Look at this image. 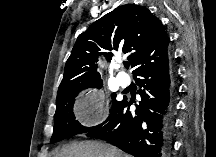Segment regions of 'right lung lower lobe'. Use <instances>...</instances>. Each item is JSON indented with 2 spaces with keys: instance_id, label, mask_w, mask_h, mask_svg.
<instances>
[{
  "instance_id": "obj_1",
  "label": "right lung lower lobe",
  "mask_w": 216,
  "mask_h": 157,
  "mask_svg": "<svg viewBox=\"0 0 216 157\" xmlns=\"http://www.w3.org/2000/svg\"><path fill=\"white\" fill-rule=\"evenodd\" d=\"M141 101L131 114V102L124 98L115 115L87 133L105 140L134 157H167L171 148L175 81L168 52L134 73Z\"/></svg>"
}]
</instances>
